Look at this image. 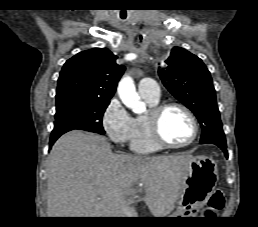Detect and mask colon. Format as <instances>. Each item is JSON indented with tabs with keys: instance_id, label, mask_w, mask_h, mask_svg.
I'll return each mask as SVG.
<instances>
[{
	"instance_id": "1",
	"label": "colon",
	"mask_w": 258,
	"mask_h": 227,
	"mask_svg": "<svg viewBox=\"0 0 258 227\" xmlns=\"http://www.w3.org/2000/svg\"><path fill=\"white\" fill-rule=\"evenodd\" d=\"M224 203L225 199L222 190H215L208 201L206 214H213L214 212L221 210Z\"/></svg>"
}]
</instances>
